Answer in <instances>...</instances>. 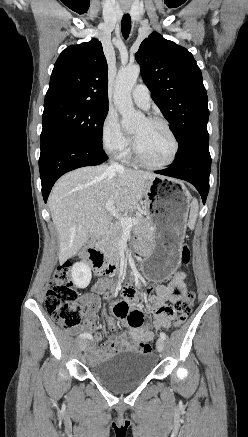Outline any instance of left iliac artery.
I'll return each instance as SVG.
<instances>
[{
    "label": "left iliac artery",
    "instance_id": "left-iliac-artery-1",
    "mask_svg": "<svg viewBox=\"0 0 248 437\" xmlns=\"http://www.w3.org/2000/svg\"><path fill=\"white\" fill-rule=\"evenodd\" d=\"M160 338L165 340L166 339V334L164 332H160Z\"/></svg>",
    "mask_w": 248,
    "mask_h": 437
}]
</instances>
